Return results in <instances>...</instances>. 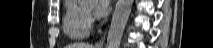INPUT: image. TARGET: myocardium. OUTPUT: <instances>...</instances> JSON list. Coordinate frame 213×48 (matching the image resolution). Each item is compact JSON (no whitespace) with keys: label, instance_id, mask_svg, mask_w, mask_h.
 Here are the masks:
<instances>
[{"label":"myocardium","instance_id":"obj_1","mask_svg":"<svg viewBox=\"0 0 213 48\" xmlns=\"http://www.w3.org/2000/svg\"><path fill=\"white\" fill-rule=\"evenodd\" d=\"M83 11H84L85 15H86L87 18H88V15L90 14V12H88V11H86V10H84V9H83Z\"/></svg>","mask_w":213,"mask_h":48}]
</instances>
